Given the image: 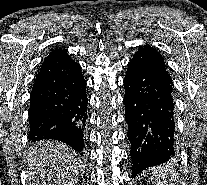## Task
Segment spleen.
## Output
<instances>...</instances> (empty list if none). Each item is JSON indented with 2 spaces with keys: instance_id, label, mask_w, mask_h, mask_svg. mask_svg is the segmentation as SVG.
Instances as JSON below:
<instances>
[{
  "instance_id": "obj_1",
  "label": "spleen",
  "mask_w": 207,
  "mask_h": 185,
  "mask_svg": "<svg viewBox=\"0 0 207 185\" xmlns=\"http://www.w3.org/2000/svg\"><path fill=\"white\" fill-rule=\"evenodd\" d=\"M144 176L146 179H161V183H167L163 179H179V174H174L172 166H149V170L144 173Z\"/></svg>"
}]
</instances>
